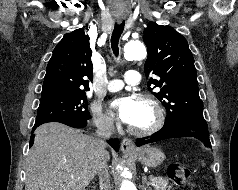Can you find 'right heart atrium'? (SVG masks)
I'll list each match as a JSON object with an SVG mask.
<instances>
[{
    "mask_svg": "<svg viewBox=\"0 0 238 190\" xmlns=\"http://www.w3.org/2000/svg\"><path fill=\"white\" fill-rule=\"evenodd\" d=\"M91 115L95 126L99 129L110 131L115 127L113 117L107 113H104L99 106H92Z\"/></svg>",
    "mask_w": 238,
    "mask_h": 190,
    "instance_id": "right-heart-atrium-1",
    "label": "right heart atrium"
}]
</instances>
